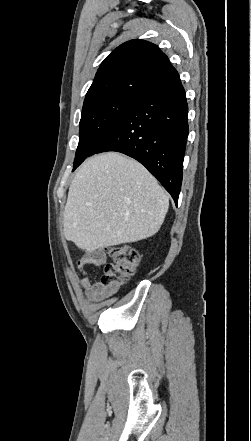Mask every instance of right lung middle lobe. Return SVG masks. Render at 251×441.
<instances>
[{"label": "right lung middle lobe", "instance_id": "dd1d6c3e", "mask_svg": "<svg viewBox=\"0 0 251 441\" xmlns=\"http://www.w3.org/2000/svg\"><path fill=\"white\" fill-rule=\"evenodd\" d=\"M140 97H113L83 107L80 120V139L76 150L75 170L92 152L102 138L137 103Z\"/></svg>", "mask_w": 251, "mask_h": 441}]
</instances>
